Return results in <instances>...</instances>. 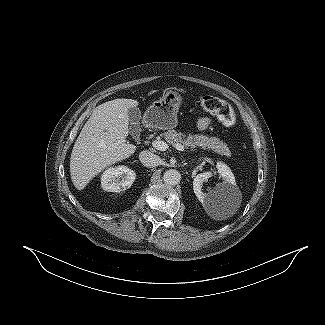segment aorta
Wrapping results in <instances>:
<instances>
[{
  "label": "aorta",
  "instance_id": "1",
  "mask_svg": "<svg viewBox=\"0 0 325 325\" xmlns=\"http://www.w3.org/2000/svg\"><path fill=\"white\" fill-rule=\"evenodd\" d=\"M163 180L167 185H177L181 181V174L175 169L165 171Z\"/></svg>",
  "mask_w": 325,
  "mask_h": 325
}]
</instances>
